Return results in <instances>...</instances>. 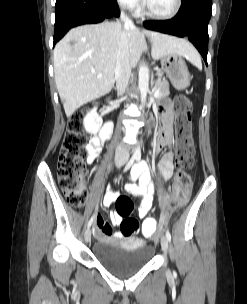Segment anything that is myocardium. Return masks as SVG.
Returning a JSON list of instances; mask_svg holds the SVG:
<instances>
[{"mask_svg": "<svg viewBox=\"0 0 247 304\" xmlns=\"http://www.w3.org/2000/svg\"><path fill=\"white\" fill-rule=\"evenodd\" d=\"M181 6H182V0H175V5H174V8L167 14H157V13H154L148 6L147 4V1L144 2V6H143V9H144V13L150 17V18H153V19H156V20H170V19H173L180 11L181 9Z\"/></svg>", "mask_w": 247, "mask_h": 304, "instance_id": "f54148a6", "label": "myocardium"}]
</instances>
